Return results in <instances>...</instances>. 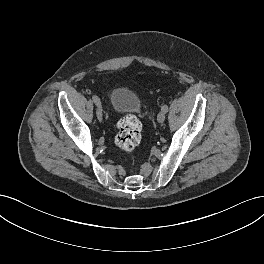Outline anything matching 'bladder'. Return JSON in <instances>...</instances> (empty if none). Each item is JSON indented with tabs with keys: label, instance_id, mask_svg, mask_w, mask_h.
<instances>
[{
	"label": "bladder",
	"instance_id": "obj_1",
	"mask_svg": "<svg viewBox=\"0 0 264 264\" xmlns=\"http://www.w3.org/2000/svg\"><path fill=\"white\" fill-rule=\"evenodd\" d=\"M110 104L117 113H134L141 109V100L129 88L115 87L110 93Z\"/></svg>",
	"mask_w": 264,
	"mask_h": 264
}]
</instances>
